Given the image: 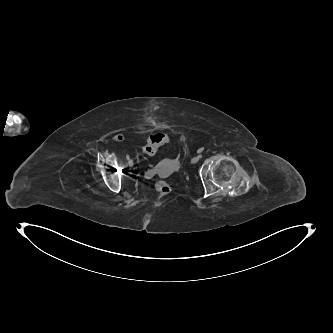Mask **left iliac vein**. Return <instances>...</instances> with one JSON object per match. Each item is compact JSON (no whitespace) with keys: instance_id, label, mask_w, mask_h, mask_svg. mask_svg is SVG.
Returning <instances> with one entry per match:
<instances>
[{"instance_id":"obj_1","label":"left iliac vein","mask_w":333,"mask_h":333,"mask_svg":"<svg viewBox=\"0 0 333 333\" xmlns=\"http://www.w3.org/2000/svg\"><path fill=\"white\" fill-rule=\"evenodd\" d=\"M198 161H199V157L196 156V157H193V158H192L191 163H192V164H195V163H197Z\"/></svg>"}]
</instances>
